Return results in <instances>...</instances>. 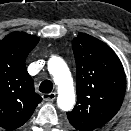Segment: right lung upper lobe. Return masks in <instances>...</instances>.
Listing matches in <instances>:
<instances>
[{
  "instance_id": "1",
  "label": "right lung upper lobe",
  "mask_w": 131,
  "mask_h": 131,
  "mask_svg": "<svg viewBox=\"0 0 131 131\" xmlns=\"http://www.w3.org/2000/svg\"><path fill=\"white\" fill-rule=\"evenodd\" d=\"M38 42L37 36L24 32L0 40V127L7 130L23 125L42 100L25 64Z\"/></svg>"
}]
</instances>
